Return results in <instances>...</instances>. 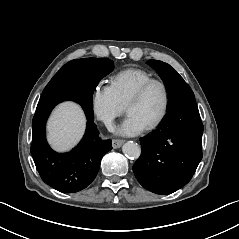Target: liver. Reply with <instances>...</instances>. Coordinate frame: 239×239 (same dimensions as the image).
Instances as JSON below:
<instances>
[{
    "label": "liver",
    "mask_w": 239,
    "mask_h": 239,
    "mask_svg": "<svg viewBox=\"0 0 239 239\" xmlns=\"http://www.w3.org/2000/svg\"><path fill=\"white\" fill-rule=\"evenodd\" d=\"M86 118L81 107L73 102L59 104L47 122V140L51 147L65 152L78 143L84 134Z\"/></svg>",
    "instance_id": "liver-1"
}]
</instances>
